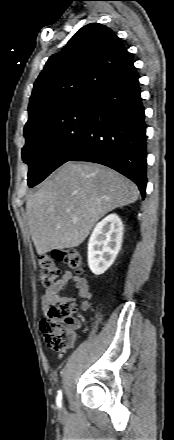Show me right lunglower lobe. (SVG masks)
I'll return each instance as SVG.
<instances>
[{"label": "right lung lower lobe", "mask_w": 174, "mask_h": 440, "mask_svg": "<svg viewBox=\"0 0 174 440\" xmlns=\"http://www.w3.org/2000/svg\"><path fill=\"white\" fill-rule=\"evenodd\" d=\"M138 74L132 65L93 93L86 132L66 159L108 166L146 193V124Z\"/></svg>", "instance_id": "98d812e1"}]
</instances>
